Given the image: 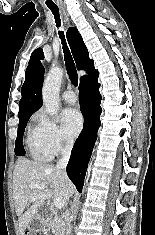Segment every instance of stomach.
<instances>
[{
	"label": "stomach",
	"mask_w": 155,
	"mask_h": 235,
	"mask_svg": "<svg viewBox=\"0 0 155 235\" xmlns=\"http://www.w3.org/2000/svg\"><path fill=\"white\" fill-rule=\"evenodd\" d=\"M46 226V219L41 214H36L28 225L27 235H33L34 233L40 232Z\"/></svg>",
	"instance_id": "obj_1"
}]
</instances>
